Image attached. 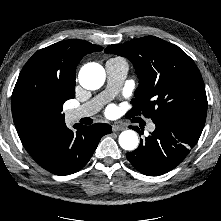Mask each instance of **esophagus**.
<instances>
[{"label": "esophagus", "mask_w": 221, "mask_h": 221, "mask_svg": "<svg viewBox=\"0 0 221 221\" xmlns=\"http://www.w3.org/2000/svg\"><path fill=\"white\" fill-rule=\"evenodd\" d=\"M124 129H125L124 126H121V125H113V126H112V130H113L114 132L122 131V130H124Z\"/></svg>", "instance_id": "1"}]
</instances>
